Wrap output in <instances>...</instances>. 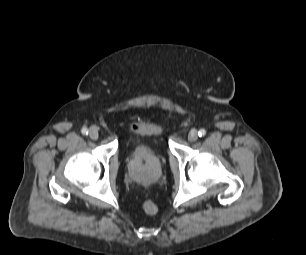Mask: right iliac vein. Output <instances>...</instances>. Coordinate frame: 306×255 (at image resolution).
<instances>
[{
	"mask_svg": "<svg viewBox=\"0 0 306 255\" xmlns=\"http://www.w3.org/2000/svg\"><path fill=\"white\" fill-rule=\"evenodd\" d=\"M89 136L91 139L96 140L99 137V130L97 127L93 126L89 130Z\"/></svg>",
	"mask_w": 306,
	"mask_h": 255,
	"instance_id": "right-iliac-vein-1",
	"label": "right iliac vein"
}]
</instances>
